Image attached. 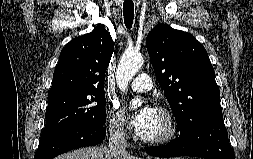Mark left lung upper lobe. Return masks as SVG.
<instances>
[{"label": "left lung upper lobe", "instance_id": "left-lung-upper-lobe-1", "mask_svg": "<svg viewBox=\"0 0 253 159\" xmlns=\"http://www.w3.org/2000/svg\"><path fill=\"white\" fill-rule=\"evenodd\" d=\"M146 47L180 130L204 117L222 114L214 68L194 36L158 24L149 32Z\"/></svg>", "mask_w": 253, "mask_h": 159}]
</instances>
